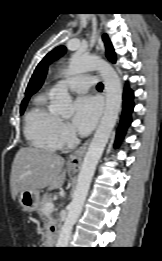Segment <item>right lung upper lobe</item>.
I'll return each instance as SVG.
<instances>
[{
  "mask_svg": "<svg viewBox=\"0 0 162 261\" xmlns=\"http://www.w3.org/2000/svg\"><path fill=\"white\" fill-rule=\"evenodd\" d=\"M45 76H46V70L43 72L42 76L38 79V81L35 84H33L29 89H26V94H25L26 98H24L23 101L29 100L30 96L39 90V88L44 82Z\"/></svg>",
  "mask_w": 162,
  "mask_h": 261,
  "instance_id": "1",
  "label": "right lung upper lobe"
}]
</instances>
